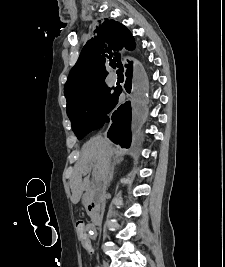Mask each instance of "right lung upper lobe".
Returning <instances> with one entry per match:
<instances>
[{
    "label": "right lung upper lobe",
    "instance_id": "right-lung-upper-lobe-1",
    "mask_svg": "<svg viewBox=\"0 0 225 267\" xmlns=\"http://www.w3.org/2000/svg\"><path fill=\"white\" fill-rule=\"evenodd\" d=\"M95 32L97 36L83 47L65 83L64 94L67 103L77 99L88 88L105 83L109 66L117 65L123 71L126 59L122 48H135L131 32L115 20L106 19Z\"/></svg>",
    "mask_w": 225,
    "mask_h": 267
}]
</instances>
